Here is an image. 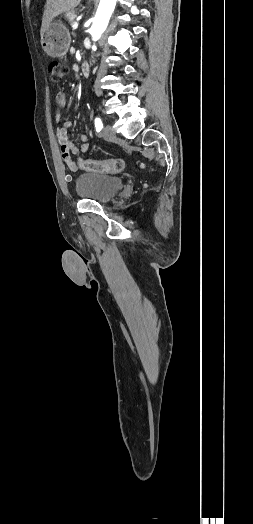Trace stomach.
<instances>
[{
  "label": "stomach",
  "mask_w": 253,
  "mask_h": 524,
  "mask_svg": "<svg viewBox=\"0 0 253 524\" xmlns=\"http://www.w3.org/2000/svg\"><path fill=\"white\" fill-rule=\"evenodd\" d=\"M71 37L69 30L60 21L51 22L41 36L45 53L53 58H62L68 51Z\"/></svg>",
  "instance_id": "stomach-1"
}]
</instances>
